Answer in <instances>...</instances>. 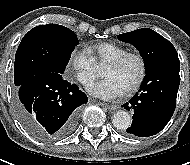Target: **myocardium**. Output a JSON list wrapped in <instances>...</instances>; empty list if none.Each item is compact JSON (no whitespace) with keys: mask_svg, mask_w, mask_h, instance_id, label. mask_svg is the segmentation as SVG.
I'll use <instances>...</instances> for the list:
<instances>
[{"mask_svg":"<svg viewBox=\"0 0 190 165\" xmlns=\"http://www.w3.org/2000/svg\"><path fill=\"white\" fill-rule=\"evenodd\" d=\"M129 59H135L138 61L139 66H140V72L136 81L131 86H129L126 90H124L126 94L135 92L143 84L147 75V63H146L145 58L143 57V55H141L138 52H126L107 63V65H110L112 67H120Z\"/></svg>","mask_w":190,"mask_h":165,"instance_id":"obj_1","label":"myocardium"}]
</instances>
